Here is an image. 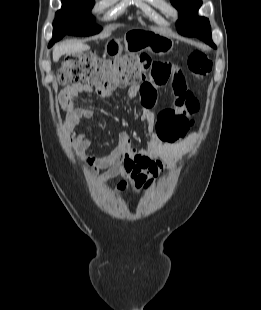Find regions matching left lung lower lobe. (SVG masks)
Here are the masks:
<instances>
[{
    "instance_id": "obj_1",
    "label": "left lung lower lobe",
    "mask_w": 261,
    "mask_h": 310,
    "mask_svg": "<svg viewBox=\"0 0 261 310\" xmlns=\"http://www.w3.org/2000/svg\"><path fill=\"white\" fill-rule=\"evenodd\" d=\"M196 37L202 39L205 43L209 44L212 47H215L212 38H211V31H210V25H207L203 28H201L198 32Z\"/></svg>"
}]
</instances>
